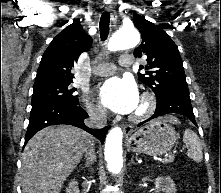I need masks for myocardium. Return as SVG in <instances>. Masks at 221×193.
<instances>
[{"label": "myocardium", "instance_id": "f54148a6", "mask_svg": "<svg viewBox=\"0 0 221 193\" xmlns=\"http://www.w3.org/2000/svg\"><path fill=\"white\" fill-rule=\"evenodd\" d=\"M155 98L152 94L145 92L140 98V108L137 112H134L130 119L133 122H140L148 118L155 109Z\"/></svg>", "mask_w": 221, "mask_h": 193}]
</instances>
